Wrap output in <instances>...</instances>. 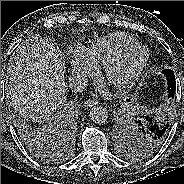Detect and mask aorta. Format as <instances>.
<instances>
[{
    "mask_svg": "<svg viewBox=\"0 0 184 184\" xmlns=\"http://www.w3.org/2000/svg\"><path fill=\"white\" fill-rule=\"evenodd\" d=\"M90 118L94 123H105L108 119V111L101 105H95L90 109Z\"/></svg>",
    "mask_w": 184,
    "mask_h": 184,
    "instance_id": "obj_1",
    "label": "aorta"
}]
</instances>
